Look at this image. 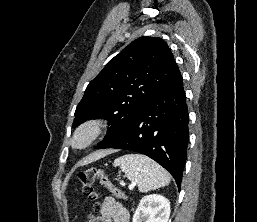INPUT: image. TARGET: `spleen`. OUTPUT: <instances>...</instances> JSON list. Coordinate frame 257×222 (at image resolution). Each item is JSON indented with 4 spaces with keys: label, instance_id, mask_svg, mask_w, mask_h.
<instances>
[{
    "label": "spleen",
    "instance_id": "obj_1",
    "mask_svg": "<svg viewBox=\"0 0 257 222\" xmlns=\"http://www.w3.org/2000/svg\"><path fill=\"white\" fill-rule=\"evenodd\" d=\"M113 165L119 166L127 178L136 183L139 191L143 193L170 183L167 171L145 155L127 154L115 159Z\"/></svg>",
    "mask_w": 257,
    "mask_h": 222
}]
</instances>
